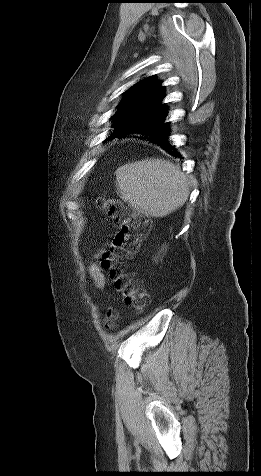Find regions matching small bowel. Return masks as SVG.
<instances>
[{"instance_id":"small-bowel-1","label":"small bowel","mask_w":261,"mask_h":476,"mask_svg":"<svg viewBox=\"0 0 261 476\" xmlns=\"http://www.w3.org/2000/svg\"><path fill=\"white\" fill-rule=\"evenodd\" d=\"M100 252L95 254V258H98ZM90 275L98 288H103L106 285V278L103 272L96 264H92L89 269Z\"/></svg>"}]
</instances>
